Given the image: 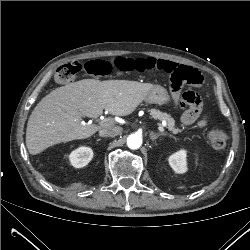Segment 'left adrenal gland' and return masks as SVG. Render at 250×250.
I'll use <instances>...</instances> for the list:
<instances>
[{
	"label": "left adrenal gland",
	"mask_w": 250,
	"mask_h": 250,
	"mask_svg": "<svg viewBox=\"0 0 250 250\" xmlns=\"http://www.w3.org/2000/svg\"><path fill=\"white\" fill-rule=\"evenodd\" d=\"M161 135H166V134H165V133L155 134V133L151 132V133H150V139H151L152 141H154V140L158 139Z\"/></svg>",
	"instance_id": "left-adrenal-gland-1"
}]
</instances>
